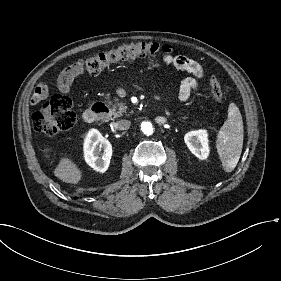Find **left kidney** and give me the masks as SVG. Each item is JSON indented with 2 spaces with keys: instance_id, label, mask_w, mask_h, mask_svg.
Masks as SVG:
<instances>
[{
  "instance_id": "1",
  "label": "left kidney",
  "mask_w": 281,
  "mask_h": 281,
  "mask_svg": "<svg viewBox=\"0 0 281 281\" xmlns=\"http://www.w3.org/2000/svg\"><path fill=\"white\" fill-rule=\"evenodd\" d=\"M184 141L197 158L201 160L207 159L209 156L208 133L205 129L193 130L185 134Z\"/></svg>"
}]
</instances>
